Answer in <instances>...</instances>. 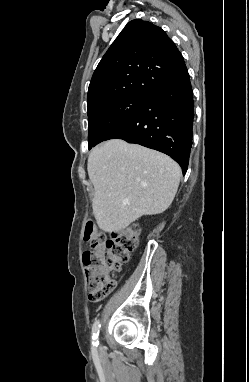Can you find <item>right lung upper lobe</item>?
<instances>
[{"instance_id":"cb5924a9","label":"right lung upper lobe","mask_w":249,"mask_h":382,"mask_svg":"<svg viewBox=\"0 0 249 382\" xmlns=\"http://www.w3.org/2000/svg\"><path fill=\"white\" fill-rule=\"evenodd\" d=\"M185 68L178 48L160 27L148 21L132 20L93 73L88 109L130 94L150 95Z\"/></svg>"}]
</instances>
